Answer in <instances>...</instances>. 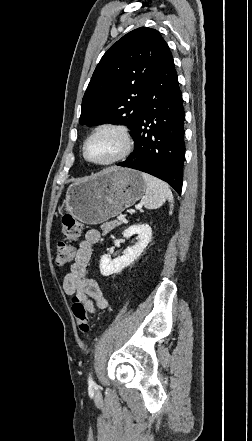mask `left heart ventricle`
<instances>
[{
  "label": "left heart ventricle",
  "mask_w": 252,
  "mask_h": 441,
  "mask_svg": "<svg viewBox=\"0 0 252 441\" xmlns=\"http://www.w3.org/2000/svg\"><path fill=\"white\" fill-rule=\"evenodd\" d=\"M122 147L120 137L105 131L93 137L87 145V155L95 161H105L115 156Z\"/></svg>",
  "instance_id": "obj_1"
}]
</instances>
